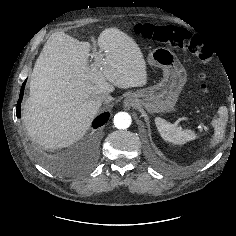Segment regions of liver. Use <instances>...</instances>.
<instances>
[{
    "instance_id": "6515ba94",
    "label": "liver",
    "mask_w": 236,
    "mask_h": 236,
    "mask_svg": "<svg viewBox=\"0 0 236 236\" xmlns=\"http://www.w3.org/2000/svg\"><path fill=\"white\" fill-rule=\"evenodd\" d=\"M97 44L100 52L91 53L90 43L63 31L53 33L45 43L22 110L25 128L36 143L45 148L70 146L89 129L102 94L114 87L147 84L146 62L132 37L109 27L100 33ZM90 57H94L92 65Z\"/></svg>"
}]
</instances>
